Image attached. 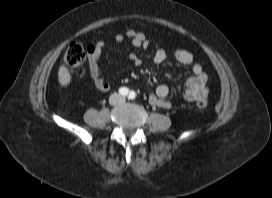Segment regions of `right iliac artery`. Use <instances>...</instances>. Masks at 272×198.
Returning <instances> with one entry per match:
<instances>
[{
  "label": "right iliac artery",
  "instance_id": "1",
  "mask_svg": "<svg viewBox=\"0 0 272 198\" xmlns=\"http://www.w3.org/2000/svg\"><path fill=\"white\" fill-rule=\"evenodd\" d=\"M119 93H120L122 96H127L128 93H129V90H128V88H126V87H121V88L119 89Z\"/></svg>",
  "mask_w": 272,
  "mask_h": 198
}]
</instances>
